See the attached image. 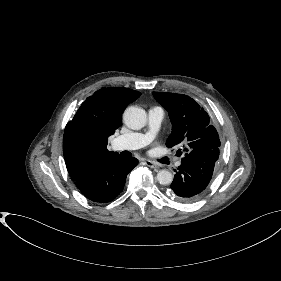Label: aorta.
Masks as SVG:
<instances>
[{
  "mask_svg": "<svg viewBox=\"0 0 281 281\" xmlns=\"http://www.w3.org/2000/svg\"><path fill=\"white\" fill-rule=\"evenodd\" d=\"M123 120L128 128L139 130L146 125L147 114L144 109L137 106H131L124 111ZM157 181L161 185H169L173 181V175L168 170H160L157 173Z\"/></svg>",
  "mask_w": 281,
  "mask_h": 281,
  "instance_id": "aorta-1",
  "label": "aorta"
}]
</instances>
